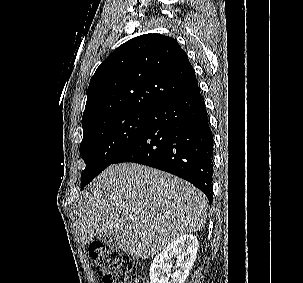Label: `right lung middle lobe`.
Segmentation results:
<instances>
[{"instance_id":"right-lung-middle-lobe-1","label":"right lung middle lobe","mask_w":303,"mask_h":283,"mask_svg":"<svg viewBox=\"0 0 303 283\" xmlns=\"http://www.w3.org/2000/svg\"><path fill=\"white\" fill-rule=\"evenodd\" d=\"M154 112L132 110L106 117L83 130L80 153L86 163L81 189L89 184L144 132Z\"/></svg>"}]
</instances>
